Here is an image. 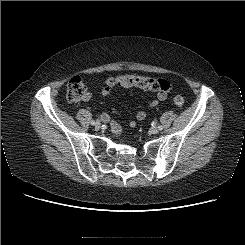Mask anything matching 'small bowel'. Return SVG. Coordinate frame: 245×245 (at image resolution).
<instances>
[{"label":"small bowel","instance_id":"obj_1","mask_svg":"<svg viewBox=\"0 0 245 245\" xmlns=\"http://www.w3.org/2000/svg\"><path fill=\"white\" fill-rule=\"evenodd\" d=\"M110 92H111V89L108 88V87L106 86V87H103V88L101 89L100 94H101L103 97H106V96H108V95L110 94ZM166 97H167V94H159V93H158L157 99L151 101V102L148 104V107H149V108H152V107H155V106L159 105V103L162 102V101H164V100L166 99ZM89 99H90V94H86L85 97H84V100H89ZM146 116H147L146 111L141 110V111H139V112L136 114V119H137L138 121H142V120H144V119L146 118ZM101 119H102L103 121H108V120H109V116H108L107 114H102V115H101ZM129 125H130L131 127H135V126H136V123H135V121H130V122H129Z\"/></svg>","mask_w":245,"mask_h":245}]
</instances>
